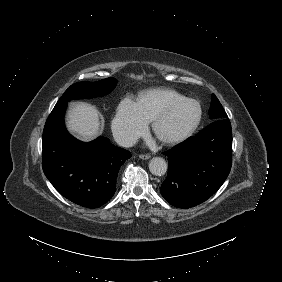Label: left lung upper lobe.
<instances>
[{
  "label": "left lung upper lobe",
  "instance_id": "obj_1",
  "mask_svg": "<svg viewBox=\"0 0 282 282\" xmlns=\"http://www.w3.org/2000/svg\"><path fill=\"white\" fill-rule=\"evenodd\" d=\"M209 116L210 119L217 120V119H224L227 118V114L225 113L222 105L220 104L217 97L213 94L212 95V102L209 109Z\"/></svg>",
  "mask_w": 282,
  "mask_h": 282
}]
</instances>
